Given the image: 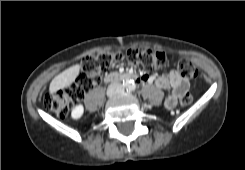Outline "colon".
<instances>
[{
    "label": "colon",
    "instance_id": "5ec220e1",
    "mask_svg": "<svg viewBox=\"0 0 245 170\" xmlns=\"http://www.w3.org/2000/svg\"><path fill=\"white\" fill-rule=\"evenodd\" d=\"M126 61L130 66H139L143 69H158L168 62L163 52L130 48L125 54L120 52L100 53L86 57L82 62V71L74 84L53 92H47L43 97L44 106L59 115L66 114L71 106L101 80L102 72L112 66ZM178 72L185 78H194L198 72L191 61L182 59L178 63ZM192 102L190 94H184L180 103L184 106Z\"/></svg>",
    "mask_w": 245,
    "mask_h": 170
}]
</instances>
